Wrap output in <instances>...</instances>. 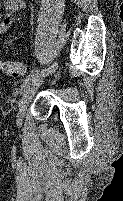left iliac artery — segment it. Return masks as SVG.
Listing matches in <instances>:
<instances>
[{
    "label": "left iliac artery",
    "mask_w": 123,
    "mask_h": 201,
    "mask_svg": "<svg viewBox=\"0 0 123 201\" xmlns=\"http://www.w3.org/2000/svg\"><path fill=\"white\" fill-rule=\"evenodd\" d=\"M58 67V63L57 62H54L50 67L46 68V69H43V70H35V71H32L28 76L27 78L24 80L23 84L21 85V91L24 90L28 85L29 83L34 80L36 77L42 75H48L50 73H53Z\"/></svg>",
    "instance_id": "obj_1"
}]
</instances>
